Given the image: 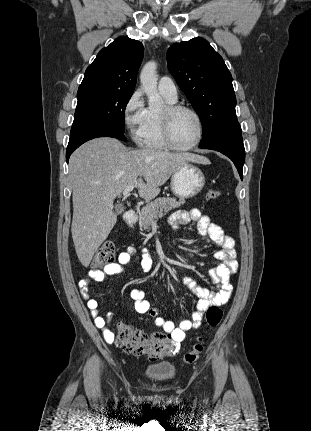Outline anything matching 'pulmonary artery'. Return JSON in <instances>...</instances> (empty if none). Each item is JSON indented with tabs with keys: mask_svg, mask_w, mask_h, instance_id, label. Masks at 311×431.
<instances>
[{
	"mask_svg": "<svg viewBox=\"0 0 311 431\" xmlns=\"http://www.w3.org/2000/svg\"><path fill=\"white\" fill-rule=\"evenodd\" d=\"M158 89L163 95L169 96L171 98L177 97L176 85L170 77H161L158 81Z\"/></svg>",
	"mask_w": 311,
	"mask_h": 431,
	"instance_id": "pulmonary-artery-1",
	"label": "pulmonary artery"
}]
</instances>
